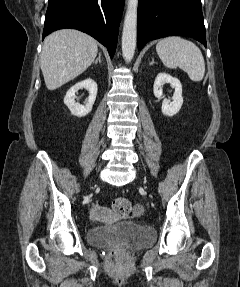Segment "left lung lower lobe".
I'll return each mask as SVG.
<instances>
[{
  "mask_svg": "<svg viewBox=\"0 0 240 287\" xmlns=\"http://www.w3.org/2000/svg\"><path fill=\"white\" fill-rule=\"evenodd\" d=\"M166 36L192 37L206 47L201 0H139L138 49Z\"/></svg>",
  "mask_w": 240,
  "mask_h": 287,
  "instance_id": "left-lung-lower-lobe-1",
  "label": "left lung lower lobe"
}]
</instances>
